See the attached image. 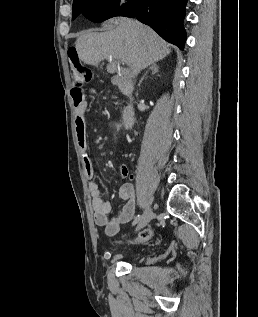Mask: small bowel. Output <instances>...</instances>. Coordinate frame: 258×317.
Wrapping results in <instances>:
<instances>
[{
  "instance_id": "c3829d8e",
  "label": "small bowel",
  "mask_w": 258,
  "mask_h": 317,
  "mask_svg": "<svg viewBox=\"0 0 258 317\" xmlns=\"http://www.w3.org/2000/svg\"><path fill=\"white\" fill-rule=\"evenodd\" d=\"M87 104L78 108L75 116V132L79 150L83 155V166L86 177L90 180L88 184L91 196V206L93 209L94 221L97 226L104 228L107 236H115L120 226L130 222L135 214V193L132 183L126 182L119 189L120 198L123 204L115 217H110L111 204L104 200L98 183L93 181L94 167L92 160L88 154V138H87ZM133 123V113L130 108H126L123 115V121L119 125L120 129H129ZM119 174L122 178L132 177L129 168L125 164L119 166Z\"/></svg>"
}]
</instances>
